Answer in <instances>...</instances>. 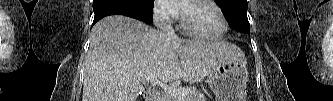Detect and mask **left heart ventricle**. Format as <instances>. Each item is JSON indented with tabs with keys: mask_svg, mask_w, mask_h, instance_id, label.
Here are the masks:
<instances>
[{
	"mask_svg": "<svg viewBox=\"0 0 333 101\" xmlns=\"http://www.w3.org/2000/svg\"><path fill=\"white\" fill-rule=\"evenodd\" d=\"M188 18L192 27L204 34H216L222 23L217 11L207 3H197L188 6Z\"/></svg>",
	"mask_w": 333,
	"mask_h": 101,
	"instance_id": "left-heart-ventricle-1",
	"label": "left heart ventricle"
}]
</instances>
